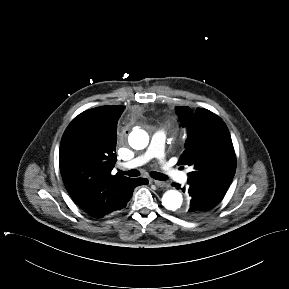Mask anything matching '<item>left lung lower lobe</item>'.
<instances>
[{
    "mask_svg": "<svg viewBox=\"0 0 289 289\" xmlns=\"http://www.w3.org/2000/svg\"><path fill=\"white\" fill-rule=\"evenodd\" d=\"M188 193L191 196L190 205L185 210L186 217H200L214 208L223 199L226 191L202 183L188 182ZM180 188L179 184H173ZM185 192V187L182 188Z\"/></svg>",
    "mask_w": 289,
    "mask_h": 289,
    "instance_id": "obj_1",
    "label": "left lung lower lobe"
}]
</instances>
